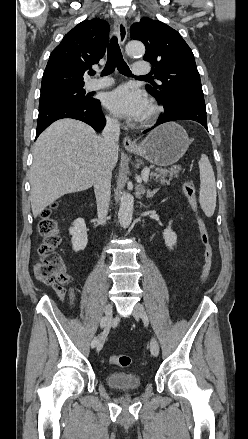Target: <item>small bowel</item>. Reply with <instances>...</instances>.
Masks as SVG:
<instances>
[{"label": "small bowel", "mask_w": 248, "mask_h": 439, "mask_svg": "<svg viewBox=\"0 0 248 439\" xmlns=\"http://www.w3.org/2000/svg\"><path fill=\"white\" fill-rule=\"evenodd\" d=\"M34 271H35V275H36V277H37L38 280H40L41 282H43V283H45V284H48V283L45 281V279H43V278L41 277L40 272H39L38 265L35 266ZM69 280H70L71 284H70V286H69L68 289H65L63 286H53V285H51V286L54 288V290L56 291V294H57L58 298H59L62 302H64L65 299H66V297H68L69 305H70L71 309L74 310V308H75V304H76V293H75V287H74V284L72 283V281H73V277H70ZM49 285H50V284H49Z\"/></svg>", "instance_id": "small-bowel-1"}]
</instances>
